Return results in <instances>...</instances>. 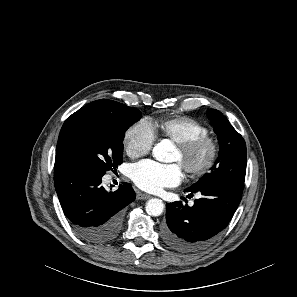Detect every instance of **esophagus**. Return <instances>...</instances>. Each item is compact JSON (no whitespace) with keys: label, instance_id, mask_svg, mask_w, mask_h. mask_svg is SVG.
<instances>
[{"label":"esophagus","instance_id":"34e87169","mask_svg":"<svg viewBox=\"0 0 297 297\" xmlns=\"http://www.w3.org/2000/svg\"><path fill=\"white\" fill-rule=\"evenodd\" d=\"M136 198L138 200H147V199L151 198V196L149 194H146V193L137 192Z\"/></svg>","mask_w":297,"mask_h":297}]
</instances>
